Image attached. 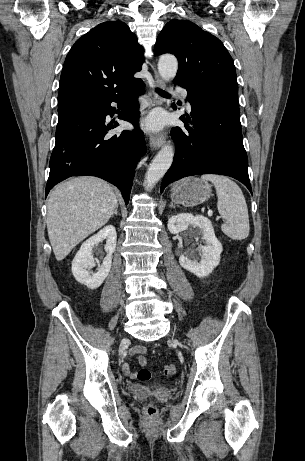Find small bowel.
<instances>
[{
	"mask_svg": "<svg viewBox=\"0 0 305 461\" xmlns=\"http://www.w3.org/2000/svg\"><path fill=\"white\" fill-rule=\"evenodd\" d=\"M147 353V348L141 345H137L133 347L130 351V355L135 357L138 364L141 366H146L148 364L147 359L145 358L144 354ZM123 373L125 376L130 378L136 377V371L131 367L130 364H125L123 366Z\"/></svg>",
	"mask_w": 305,
	"mask_h": 461,
	"instance_id": "1",
	"label": "small bowel"
}]
</instances>
